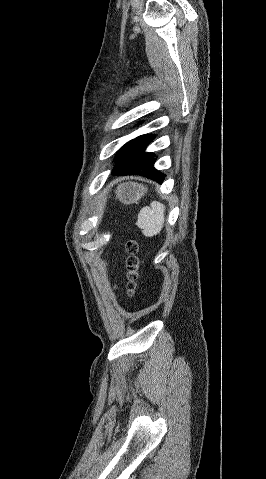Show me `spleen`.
Listing matches in <instances>:
<instances>
[{"instance_id":"1","label":"spleen","mask_w":266,"mask_h":479,"mask_svg":"<svg viewBox=\"0 0 266 479\" xmlns=\"http://www.w3.org/2000/svg\"><path fill=\"white\" fill-rule=\"evenodd\" d=\"M165 206L159 202H152L150 207H144L138 214L137 226L142 229L146 237L159 234L165 221Z\"/></svg>"}]
</instances>
